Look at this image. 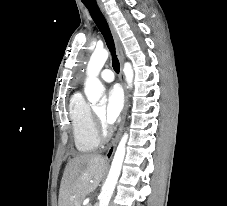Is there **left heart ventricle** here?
Segmentation results:
<instances>
[{
  "mask_svg": "<svg viewBox=\"0 0 227 206\" xmlns=\"http://www.w3.org/2000/svg\"><path fill=\"white\" fill-rule=\"evenodd\" d=\"M97 114H98V116H102L103 115V109L102 108H99V109H97Z\"/></svg>",
  "mask_w": 227,
  "mask_h": 206,
  "instance_id": "1",
  "label": "left heart ventricle"
}]
</instances>
